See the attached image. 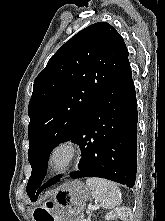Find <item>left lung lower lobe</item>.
<instances>
[{"mask_svg": "<svg viewBox=\"0 0 165 221\" xmlns=\"http://www.w3.org/2000/svg\"><path fill=\"white\" fill-rule=\"evenodd\" d=\"M137 121L135 87L128 60L70 139L82 151L79 168L71 173V178L100 177L132 188L137 166ZM59 179L60 176L50 179L39 190Z\"/></svg>", "mask_w": 165, "mask_h": 221, "instance_id": "obj_1", "label": "left lung lower lobe"}]
</instances>
